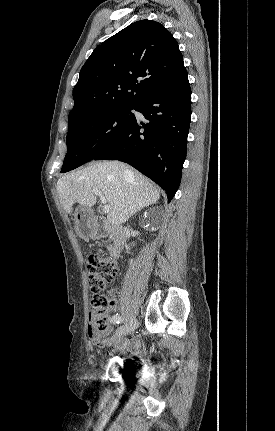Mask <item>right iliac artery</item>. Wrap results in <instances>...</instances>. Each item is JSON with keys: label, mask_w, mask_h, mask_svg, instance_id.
<instances>
[{"label": "right iliac artery", "mask_w": 275, "mask_h": 431, "mask_svg": "<svg viewBox=\"0 0 275 431\" xmlns=\"http://www.w3.org/2000/svg\"><path fill=\"white\" fill-rule=\"evenodd\" d=\"M122 321H123L122 317H121V316H119L118 314L114 315V316L111 318V322H112L113 324H119V323H121Z\"/></svg>", "instance_id": "right-iliac-artery-1"}]
</instances>
